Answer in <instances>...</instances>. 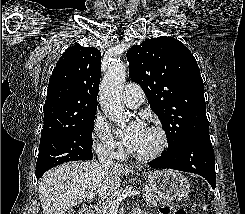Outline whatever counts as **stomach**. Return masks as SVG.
Masks as SVG:
<instances>
[{
  "instance_id": "obj_1",
  "label": "stomach",
  "mask_w": 245,
  "mask_h": 214,
  "mask_svg": "<svg viewBox=\"0 0 245 214\" xmlns=\"http://www.w3.org/2000/svg\"><path fill=\"white\" fill-rule=\"evenodd\" d=\"M148 183L155 194L166 200L179 201L190 192L188 179L174 170L166 169L149 172Z\"/></svg>"
}]
</instances>
